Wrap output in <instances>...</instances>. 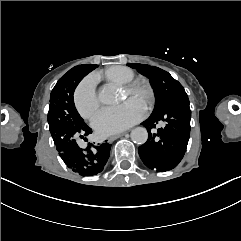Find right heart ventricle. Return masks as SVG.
Segmentation results:
<instances>
[{
  "instance_id": "e07e8e85",
  "label": "right heart ventricle",
  "mask_w": 241,
  "mask_h": 241,
  "mask_svg": "<svg viewBox=\"0 0 241 241\" xmlns=\"http://www.w3.org/2000/svg\"><path fill=\"white\" fill-rule=\"evenodd\" d=\"M105 75L108 80L123 85L134 77V73L130 68L119 65L109 67L106 70Z\"/></svg>"
}]
</instances>
